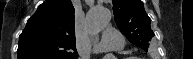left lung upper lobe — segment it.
I'll list each match as a JSON object with an SVG mask.
<instances>
[{"label":"left lung upper lobe","instance_id":"left-lung-upper-lobe-1","mask_svg":"<svg viewBox=\"0 0 193 59\" xmlns=\"http://www.w3.org/2000/svg\"><path fill=\"white\" fill-rule=\"evenodd\" d=\"M114 18L122 34L133 44L148 51V42L154 36L151 19L141 0H113Z\"/></svg>","mask_w":193,"mask_h":59}]
</instances>
